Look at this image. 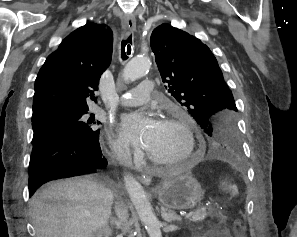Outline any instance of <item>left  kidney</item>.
Here are the masks:
<instances>
[{
    "instance_id": "left-kidney-1",
    "label": "left kidney",
    "mask_w": 297,
    "mask_h": 237,
    "mask_svg": "<svg viewBox=\"0 0 297 237\" xmlns=\"http://www.w3.org/2000/svg\"><path fill=\"white\" fill-rule=\"evenodd\" d=\"M207 236V234H205L203 237H206Z\"/></svg>"
}]
</instances>
